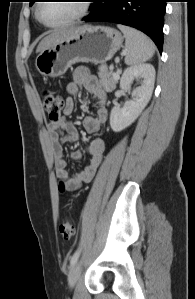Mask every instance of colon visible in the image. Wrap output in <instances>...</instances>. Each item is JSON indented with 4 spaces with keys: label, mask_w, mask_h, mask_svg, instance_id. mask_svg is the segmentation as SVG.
I'll use <instances>...</instances> for the list:
<instances>
[{
    "label": "colon",
    "mask_w": 195,
    "mask_h": 299,
    "mask_svg": "<svg viewBox=\"0 0 195 299\" xmlns=\"http://www.w3.org/2000/svg\"><path fill=\"white\" fill-rule=\"evenodd\" d=\"M42 105L51 122H59L61 120L62 110L64 108V99L61 95L53 93L49 90L43 91ZM61 191L66 190L63 183L60 184ZM75 232V224L72 220L66 219L60 224L61 235L68 239Z\"/></svg>",
    "instance_id": "obj_1"
}]
</instances>
